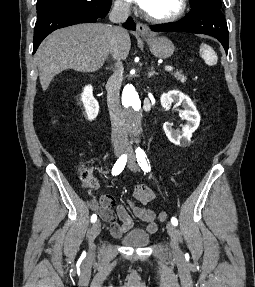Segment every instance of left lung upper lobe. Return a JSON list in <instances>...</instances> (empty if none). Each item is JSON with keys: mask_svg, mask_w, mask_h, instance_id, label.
<instances>
[{"mask_svg": "<svg viewBox=\"0 0 255 287\" xmlns=\"http://www.w3.org/2000/svg\"><path fill=\"white\" fill-rule=\"evenodd\" d=\"M191 7L198 5H209L217 9L221 8V0H189Z\"/></svg>", "mask_w": 255, "mask_h": 287, "instance_id": "left-lung-upper-lobe-1", "label": "left lung upper lobe"}]
</instances>
